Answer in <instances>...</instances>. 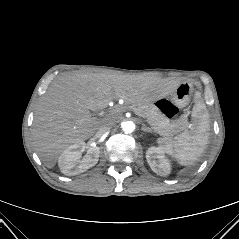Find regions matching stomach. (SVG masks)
Returning <instances> with one entry per match:
<instances>
[{
    "label": "stomach",
    "instance_id": "1",
    "mask_svg": "<svg viewBox=\"0 0 239 239\" xmlns=\"http://www.w3.org/2000/svg\"><path fill=\"white\" fill-rule=\"evenodd\" d=\"M193 85L190 82H180L173 90L172 95L162 97L154 102L162 109L163 117L169 122H178L185 115V105L190 101Z\"/></svg>",
    "mask_w": 239,
    "mask_h": 239
}]
</instances>
